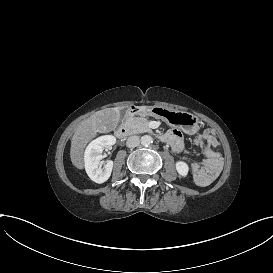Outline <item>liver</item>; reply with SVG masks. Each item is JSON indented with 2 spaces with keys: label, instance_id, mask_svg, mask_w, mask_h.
Returning a JSON list of instances; mask_svg holds the SVG:
<instances>
[{
  "label": "liver",
  "instance_id": "6515ba94",
  "mask_svg": "<svg viewBox=\"0 0 273 273\" xmlns=\"http://www.w3.org/2000/svg\"><path fill=\"white\" fill-rule=\"evenodd\" d=\"M124 108L120 106L96 111L78 125L70 145V159L75 168L84 169V152L87 145L99 134L115 131L119 122L122 121Z\"/></svg>",
  "mask_w": 273,
  "mask_h": 273
}]
</instances>
